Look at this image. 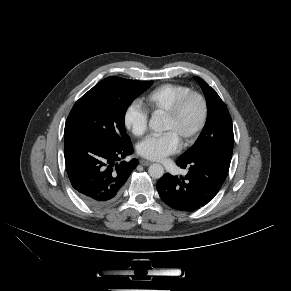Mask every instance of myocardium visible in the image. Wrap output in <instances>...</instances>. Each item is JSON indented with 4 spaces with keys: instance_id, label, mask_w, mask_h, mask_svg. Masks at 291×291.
<instances>
[{
    "instance_id": "obj_1",
    "label": "myocardium",
    "mask_w": 291,
    "mask_h": 291,
    "mask_svg": "<svg viewBox=\"0 0 291 291\" xmlns=\"http://www.w3.org/2000/svg\"><path fill=\"white\" fill-rule=\"evenodd\" d=\"M193 99H197L200 103L201 106L200 119L194 130L185 139L182 140L183 147H188L192 145L196 141L200 133L203 131L207 123L209 115V106L206 97L200 92L191 91L188 94L181 97L180 99H178L173 104V106L165 113V117L176 119L181 114L185 106Z\"/></svg>"
}]
</instances>
